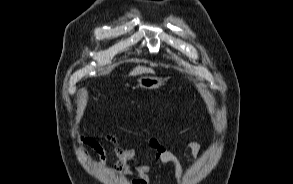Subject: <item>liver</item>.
Wrapping results in <instances>:
<instances>
[{"mask_svg":"<svg viewBox=\"0 0 293 184\" xmlns=\"http://www.w3.org/2000/svg\"><path fill=\"white\" fill-rule=\"evenodd\" d=\"M143 73H154V71L150 68L137 66L136 68L133 69V71L130 72V75H140Z\"/></svg>","mask_w":293,"mask_h":184,"instance_id":"6515ba94","label":"liver"}]
</instances>
